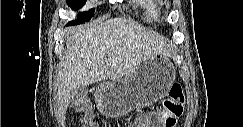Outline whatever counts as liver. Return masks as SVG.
<instances>
[{"instance_id":"obj_1","label":"liver","mask_w":243,"mask_h":127,"mask_svg":"<svg viewBox=\"0 0 243 127\" xmlns=\"http://www.w3.org/2000/svg\"><path fill=\"white\" fill-rule=\"evenodd\" d=\"M66 47L57 74L58 117L62 121L73 89L106 79L120 80L150 56L171 52L163 37L121 17L73 30Z\"/></svg>"}]
</instances>
